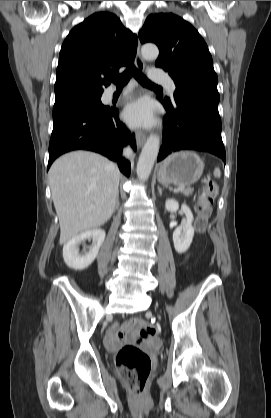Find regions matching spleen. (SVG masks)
Masks as SVG:
<instances>
[{"mask_svg":"<svg viewBox=\"0 0 271 418\" xmlns=\"http://www.w3.org/2000/svg\"><path fill=\"white\" fill-rule=\"evenodd\" d=\"M214 176L217 177V178H219L221 176L220 169L217 168V167L214 169Z\"/></svg>","mask_w":271,"mask_h":418,"instance_id":"obj_1","label":"spleen"}]
</instances>
